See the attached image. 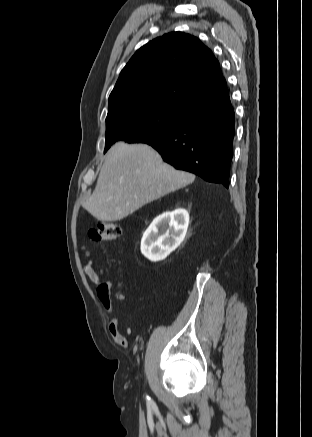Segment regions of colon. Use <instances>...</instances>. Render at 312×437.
Segmentation results:
<instances>
[{"label":"colon","mask_w":312,"mask_h":437,"mask_svg":"<svg viewBox=\"0 0 312 437\" xmlns=\"http://www.w3.org/2000/svg\"><path fill=\"white\" fill-rule=\"evenodd\" d=\"M89 235L95 241H114L120 237L121 228L114 222L98 220Z\"/></svg>","instance_id":"colon-1"}]
</instances>
